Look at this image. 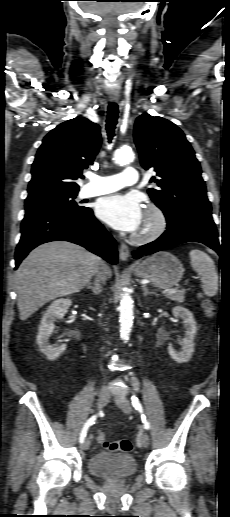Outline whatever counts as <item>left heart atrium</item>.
Masks as SVG:
<instances>
[{"label":"left heart atrium","mask_w":230,"mask_h":517,"mask_svg":"<svg viewBox=\"0 0 230 517\" xmlns=\"http://www.w3.org/2000/svg\"><path fill=\"white\" fill-rule=\"evenodd\" d=\"M96 213L105 223L124 232L138 231L144 217L141 202L133 194H116L102 198L96 206Z\"/></svg>","instance_id":"left-heart-atrium-1"}]
</instances>
